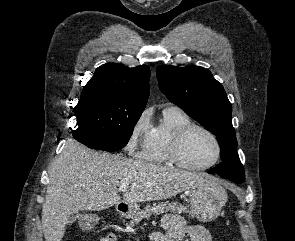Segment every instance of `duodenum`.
<instances>
[{
  "mask_svg": "<svg viewBox=\"0 0 295 241\" xmlns=\"http://www.w3.org/2000/svg\"><path fill=\"white\" fill-rule=\"evenodd\" d=\"M117 209L119 212L123 213L126 211L127 207L124 203H118L117 204Z\"/></svg>",
  "mask_w": 295,
  "mask_h": 241,
  "instance_id": "duodenum-1",
  "label": "duodenum"
}]
</instances>
